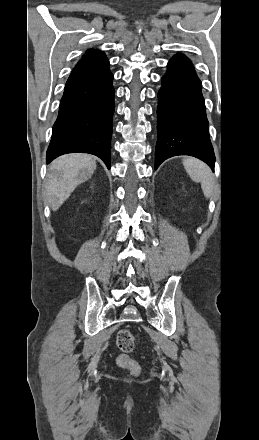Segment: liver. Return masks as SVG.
Here are the masks:
<instances>
[{
  "label": "liver",
  "instance_id": "1",
  "mask_svg": "<svg viewBox=\"0 0 259 440\" xmlns=\"http://www.w3.org/2000/svg\"><path fill=\"white\" fill-rule=\"evenodd\" d=\"M95 170V158L88 154L72 153L55 159L46 177V197L51 209L57 211L79 184L91 178Z\"/></svg>",
  "mask_w": 259,
  "mask_h": 440
}]
</instances>
